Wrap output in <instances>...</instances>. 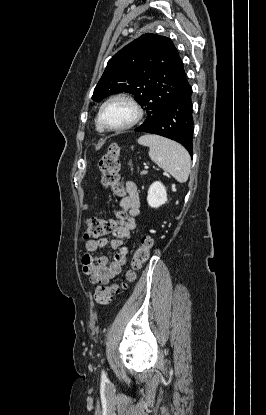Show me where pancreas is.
I'll return each instance as SVG.
<instances>
[{
  "label": "pancreas",
  "mask_w": 266,
  "mask_h": 415,
  "mask_svg": "<svg viewBox=\"0 0 266 415\" xmlns=\"http://www.w3.org/2000/svg\"><path fill=\"white\" fill-rule=\"evenodd\" d=\"M145 174H147V171H142L141 172V175H145Z\"/></svg>",
  "instance_id": "cf45deb5"
}]
</instances>
